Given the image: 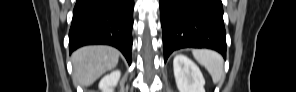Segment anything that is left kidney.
I'll return each mask as SVG.
<instances>
[{
    "label": "left kidney",
    "mask_w": 296,
    "mask_h": 92,
    "mask_svg": "<svg viewBox=\"0 0 296 92\" xmlns=\"http://www.w3.org/2000/svg\"><path fill=\"white\" fill-rule=\"evenodd\" d=\"M176 85L180 92H205V80L199 67L184 55L173 60Z\"/></svg>",
    "instance_id": "obj_1"
}]
</instances>
